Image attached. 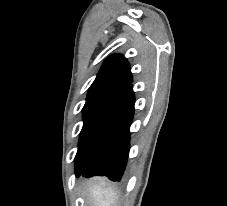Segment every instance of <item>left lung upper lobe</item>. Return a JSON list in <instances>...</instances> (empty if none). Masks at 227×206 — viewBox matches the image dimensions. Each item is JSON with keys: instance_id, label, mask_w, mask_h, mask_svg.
I'll list each match as a JSON object with an SVG mask.
<instances>
[{"instance_id": "left-lung-upper-lobe-1", "label": "left lung upper lobe", "mask_w": 227, "mask_h": 206, "mask_svg": "<svg viewBox=\"0 0 227 206\" xmlns=\"http://www.w3.org/2000/svg\"><path fill=\"white\" fill-rule=\"evenodd\" d=\"M131 82L130 65L124 56L112 55L105 60L89 88L83 107L84 124L80 133L75 165L88 154L93 133L108 105Z\"/></svg>"}]
</instances>
